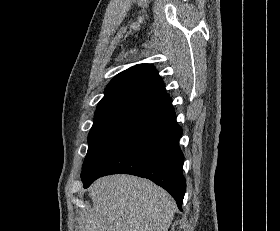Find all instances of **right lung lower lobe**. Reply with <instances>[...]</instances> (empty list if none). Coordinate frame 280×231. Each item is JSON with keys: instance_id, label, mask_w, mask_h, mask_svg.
<instances>
[{"instance_id": "obj_1", "label": "right lung lower lobe", "mask_w": 280, "mask_h": 231, "mask_svg": "<svg viewBox=\"0 0 280 231\" xmlns=\"http://www.w3.org/2000/svg\"><path fill=\"white\" fill-rule=\"evenodd\" d=\"M181 135L174 110L131 126L101 149L82 170L84 188L105 175L132 174L163 187L182 210L186 181L184 155L179 147Z\"/></svg>"}]
</instances>
